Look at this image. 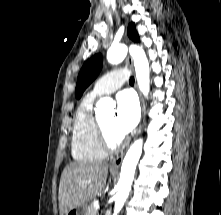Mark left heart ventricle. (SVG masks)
I'll return each mask as SVG.
<instances>
[{"mask_svg": "<svg viewBox=\"0 0 221 215\" xmlns=\"http://www.w3.org/2000/svg\"><path fill=\"white\" fill-rule=\"evenodd\" d=\"M100 122L102 124V126L104 127V129L107 131V133L112 137V138H119L115 135L114 131H113V127H112V123H113V116H107L105 118L100 119Z\"/></svg>", "mask_w": 221, "mask_h": 215, "instance_id": "left-heart-ventricle-1", "label": "left heart ventricle"}]
</instances>
